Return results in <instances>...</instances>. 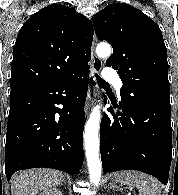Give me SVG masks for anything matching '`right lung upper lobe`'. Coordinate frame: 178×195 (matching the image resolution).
<instances>
[{
	"mask_svg": "<svg viewBox=\"0 0 178 195\" xmlns=\"http://www.w3.org/2000/svg\"><path fill=\"white\" fill-rule=\"evenodd\" d=\"M93 26L74 8L51 4L20 29L11 64V91L67 80L88 68Z\"/></svg>",
	"mask_w": 178,
	"mask_h": 195,
	"instance_id": "cb5924a9",
	"label": "right lung upper lobe"
}]
</instances>
